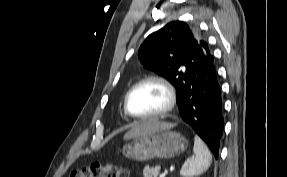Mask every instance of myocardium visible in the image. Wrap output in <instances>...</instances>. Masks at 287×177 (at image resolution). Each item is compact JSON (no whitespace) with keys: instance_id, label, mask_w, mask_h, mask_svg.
<instances>
[{"instance_id":"f54148a6","label":"myocardium","mask_w":287,"mask_h":177,"mask_svg":"<svg viewBox=\"0 0 287 177\" xmlns=\"http://www.w3.org/2000/svg\"><path fill=\"white\" fill-rule=\"evenodd\" d=\"M146 83H156L159 84L166 93L167 96V103L166 105L158 112L148 115H136L131 112L130 110V98L133 94V92L140 87L141 85H144ZM177 102V94L173 87V85L164 77L152 75L147 76L138 82H136L127 92L124 100V109L128 116L131 118L137 119V120H147V119H154V118H160L168 114L176 105Z\"/></svg>"}]
</instances>
